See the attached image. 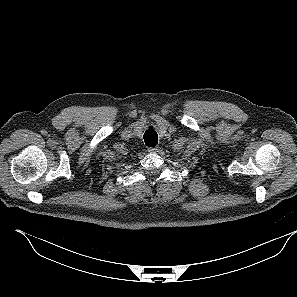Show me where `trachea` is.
I'll return each mask as SVG.
<instances>
[{"label": "trachea", "mask_w": 297, "mask_h": 297, "mask_svg": "<svg viewBox=\"0 0 297 297\" xmlns=\"http://www.w3.org/2000/svg\"><path fill=\"white\" fill-rule=\"evenodd\" d=\"M145 144L149 147H154L158 144L157 132L153 129H149L144 133Z\"/></svg>", "instance_id": "1"}]
</instances>
